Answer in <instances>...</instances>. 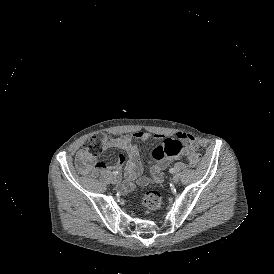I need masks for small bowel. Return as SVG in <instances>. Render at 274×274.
Wrapping results in <instances>:
<instances>
[{"label": "small bowel", "instance_id": "small-bowel-1", "mask_svg": "<svg viewBox=\"0 0 274 274\" xmlns=\"http://www.w3.org/2000/svg\"><path fill=\"white\" fill-rule=\"evenodd\" d=\"M178 138L187 143V155L191 152H196L199 148V143L189 134L180 132ZM152 137V134L146 131H135L132 134L117 136L107 135L105 137L104 148H117L126 152L120 154L117 159L116 167L125 166V183L122 185L124 191L134 189L135 181L139 186H147L149 183H160L163 181L162 171L175 161L182 157L183 147L177 141L167 140L158 145L154 153V161L150 163V176H141L142 165L140 154L136 142L145 143ZM156 139L162 138L161 135H154ZM76 162L79 170L86 175H94L103 173L109 169L108 165L103 161H98L87 150L81 149L76 156Z\"/></svg>", "mask_w": 274, "mask_h": 274}]
</instances>
